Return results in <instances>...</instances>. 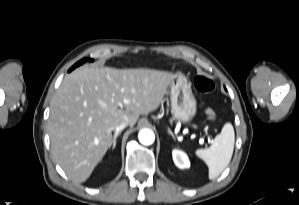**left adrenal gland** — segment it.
<instances>
[{
    "mask_svg": "<svg viewBox=\"0 0 299 205\" xmlns=\"http://www.w3.org/2000/svg\"><path fill=\"white\" fill-rule=\"evenodd\" d=\"M168 133L173 137V139H175L174 134L172 133V131L168 128Z\"/></svg>",
    "mask_w": 299,
    "mask_h": 205,
    "instance_id": "a2214340",
    "label": "left adrenal gland"
}]
</instances>
